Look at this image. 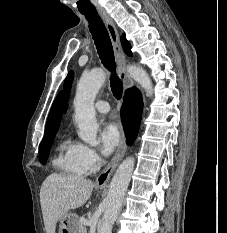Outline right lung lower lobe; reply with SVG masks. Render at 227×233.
<instances>
[{
  "instance_id": "right-lung-lower-lobe-1",
  "label": "right lung lower lobe",
  "mask_w": 227,
  "mask_h": 233,
  "mask_svg": "<svg viewBox=\"0 0 227 233\" xmlns=\"http://www.w3.org/2000/svg\"><path fill=\"white\" fill-rule=\"evenodd\" d=\"M133 91L134 88L126 91L121 109V117L128 145L132 144L136 139L140 125L139 118H137V109L133 99Z\"/></svg>"
}]
</instances>
